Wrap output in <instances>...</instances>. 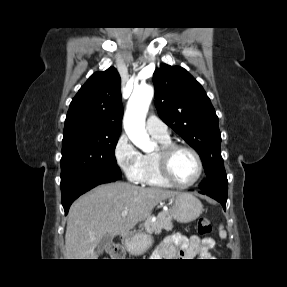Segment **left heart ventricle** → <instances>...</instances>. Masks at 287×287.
I'll return each mask as SVG.
<instances>
[{"label": "left heart ventricle", "mask_w": 287, "mask_h": 287, "mask_svg": "<svg viewBox=\"0 0 287 287\" xmlns=\"http://www.w3.org/2000/svg\"><path fill=\"white\" fill-rule=\"evenodd\" d=\"M171 170L177 181L189 183L198 173V164L190 152L179 150L171 159Z\"/></svg>", "instance_id": "b2bd125f"}]
</instances>
